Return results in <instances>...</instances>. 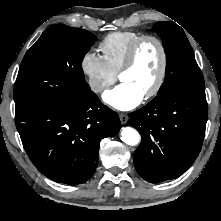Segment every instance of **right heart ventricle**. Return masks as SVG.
I'll list each match as a JSON object with an SVG mask.
<instances>
[{
  "label": "right heart ventricle",
  "mask_w": 221,
  "mask_h": 221,
  "mask_svg": "<svg viewBox=\"0 0 221 221\" xmlns=\"http://www.w3.org/2000/svg\"><path fill=\"white\" fill-rule=\"evenodd\" d=\"M136 31H116L106 35L99 49L110 69L116 74L120 71L130 46L140 37Z\"/></svg>",
  "instance_id": "e07e8e85"
}]
</instances>
